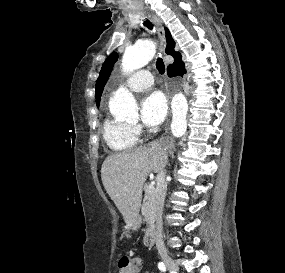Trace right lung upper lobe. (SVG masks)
Wrapping results in <instances>:
<instances>
[{
    "mask_svg": "<svg viewBox=\"0 0 285 273\" xmlns=\"http://www.w3.org/2000/svg\"><path fill=\"white\" fill-rule=\"evenodd\" d=\"M165 32H166V39H167L166 53L174 57V62L178 61L181 59V54L179 52L174 51L175 42L173 38L171 37V34L167 28H165Z\"/></svg>",
    "mask_w": 285,
    "mask_h": 273,
    "instance_id": "obj_1",
    "label": "right lung upper lobe"
}]
</instances>
